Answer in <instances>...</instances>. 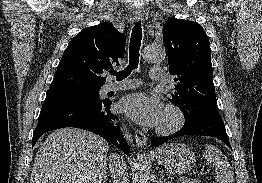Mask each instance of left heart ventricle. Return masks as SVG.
Listing matches in <instances>:
<instances>
[{
	"instance_id": "obj_1",
	"label": "left heart ventricle",
	"mask_w": 262,
	"mask_h": 183,
	"mask_svg": "<svg viewBox=\"0 0 262 183\" xmlns=\"http://www.w3.org/2000/svg\"><path fill=\"white\" fill-rule=\"evenodd\" d=\"M173 122V116L171 113H165L163 112L161 121L159 123V125L161 126H168Z\"/></svg>"
}]
</instances>
